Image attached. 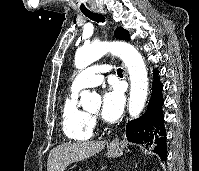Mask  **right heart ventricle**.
<instances>
[{
    "label": "right heart ventricle",
    "mask_w": 199,
    "mask_h": 171,
    "mask_svg": "<svg viewBox=\"0 0 199 171\" xmlns=\"http://www.w3.org/2000/svg\"><path fill=\"white\" fill-rule=\"evenodd\" d=\"M61 123L65 136L75 141H86L93 135L94 124L88 112L78 104V91L66 94L61 107Z\"/></svg>",
    "instance_id": "right-heart-ventricle-1"
}]
</instances>
